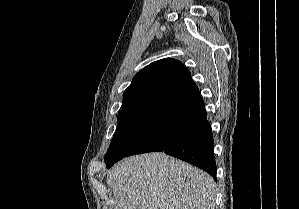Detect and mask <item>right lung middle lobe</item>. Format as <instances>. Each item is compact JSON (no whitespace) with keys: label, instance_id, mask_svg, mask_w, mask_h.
Returning a JSON list of instances; mask_svg holds the SVG:
<instances>
[{"label":"right lung middle lobe","instance_id":"right-lung-middle-lobe-1","mask_svg":"<svg viewBox=\"0 0 299 209\" xmlns=\"http://www.w3.org/2000/svg\"><path fill=\"white\" fill-rule=\"evenodd\" d=\"M158 105V103L143 102L121 106L117 118L118 127L105 155V162L113 159L121 151L143 126Z\"/></svg>","mask_w":299,"mask_h":209}]
</instances>
